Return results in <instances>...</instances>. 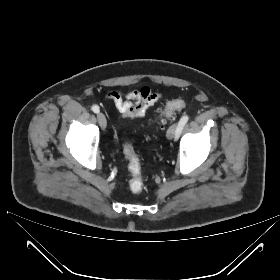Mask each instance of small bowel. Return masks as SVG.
Returning <instances> with one entry per match:
<instances>
[{"instance_id": "c3829d8e", "label": "small bowel", "mask_w": 280, "mask_h": 280, "mask_svg": "<svg viewBox=\"0 0 280 280\" xmlns=\"http://www.w3.org/2000/svg\"><path fill=\"white\" fill-rule=\"evenodd\" d=\"M107 98L114 104L121 118L136 120L147 114L148 110L162 98V93L149 85H144L137 90L110 92Z\"/></svg>"}]
</instances>
